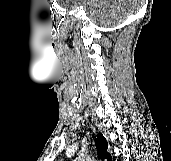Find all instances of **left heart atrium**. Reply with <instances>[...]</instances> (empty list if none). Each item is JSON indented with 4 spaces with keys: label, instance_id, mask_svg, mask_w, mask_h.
<instances>
[{
    "label": "left heart atrium",
    "instance_id": "obj_1",
    "mask_svg": "<svg viewBox=\"0 0 171 161\" xmlns=\"http://www.w3.org/2000/svg\"><path fill=\"white\" fill-rule=\"evenodd\" d=\"M80 161H87V160H84V159H83V160H80Z\"/></svg>",
    "mask_w": 171,
    "mask_h": 161
}]
</instances>
